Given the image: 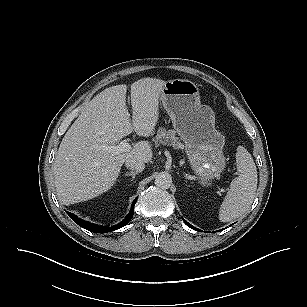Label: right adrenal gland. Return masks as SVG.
Listing matches in <instances>:
<instances>
[{
	"instance_id": "obj_1",
	"label": "right adrenal gland",
	"mask_w": 307,
	"mask_h": 307,
	"mask_svg": "<svg viewBox=\"0 0 307 307\" xmlns=\"http://www.w3.org/2000/svg\"><path fill=\"white\" fill-rule=\"evenodd\" d=\"M139 172H126L125 176H132V181L135 179V176L138 174Z\"/></svg>"
}]
</instances>
